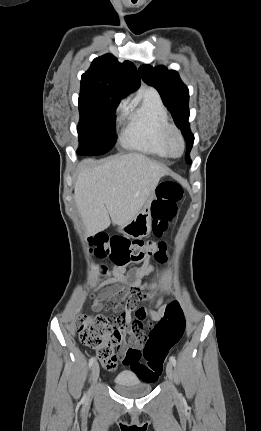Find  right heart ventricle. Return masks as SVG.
Segmentation results:
<instances>
[{
    "instance_id": "obj_1",
    "label": "right heart ventricle",
    "mask_w": 261,
    "mask_h": 431,
    "mask_svg": "<svg viewBox=\"0 0 261 431\" xmlns=\"http://www.w3.org/2000/svg\"><path fill=\"white\" fill-rule=\"evenodd\" d=\"M168 124V114L159 96L153 90H146L126 109L122 143L130 149L168 157L163 142Z\"/></svg>"
}]
</instances>
